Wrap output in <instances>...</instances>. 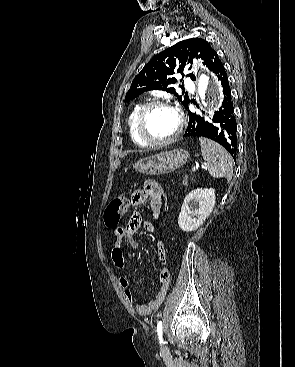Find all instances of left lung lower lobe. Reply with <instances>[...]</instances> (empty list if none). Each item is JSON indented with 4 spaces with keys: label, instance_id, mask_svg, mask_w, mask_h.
<instances>
[{
    "label": "left lung lower lobe",
    "instance_id": "obj_1",
    "mask_svg": "<svg viewBox=\"0 0 295 367\" xmlns=\"http://www.w3.org/2000/svg\"><path fill=\"white\" fill-rule=\"evenodd\" d=\"M212 72L217 75L223 87L222 105L215 112L213 123L205 121L204 118L192 113L187 108L189 123L184 137H206L214 140L225 147L235 160L237 151L236 119L227 73L220 59Z\"/></svg>",
    "mask_w": 295,
    "mask_h": 367
}]
</instances>
